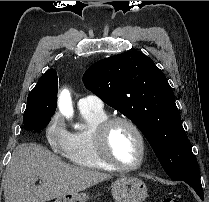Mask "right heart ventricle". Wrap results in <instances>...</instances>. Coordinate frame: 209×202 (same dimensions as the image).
I'll use <instances>...</instances> for the list:
<instances>
[{
	"mask_svg": "<svg viewBox=\"0 0 209 202\" xmlns=\"http://www.w3.org/2000/svg\"><path fill=\"white\" fill-rule=\"evenodd\" d=\"M86 127L70 133L69 143L64 157L71 163L89 169L111 170L97 154L94 144V132L108 118L103 110H80Z\"/></svg>",
	"mask_w": 209,
	"mask_h": 202,
	"instance_id": "right-heart-ventricle-1",
	"label": "right heart ventricle"
}]
</instances>
